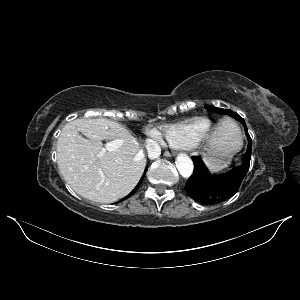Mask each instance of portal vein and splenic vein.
Here are the masks:
<instances>
[{"mask_svg":"<svg viewBox=\"0 0 300 300\" xmlns=\"http://www.w3.org/2000/svg\"><path fill=\"white\" fill-rule=\"evenodd\" d=\"M121 143H122L121 140H114L106 143L103 150L99 153V157L102 156L103 153L106 151H115L121 146Z\"/></svg>","mask_w":300,"mask_h":300,"instance_id":"obj_1","label":"portal vein and splenic vein"}]
</instances>
